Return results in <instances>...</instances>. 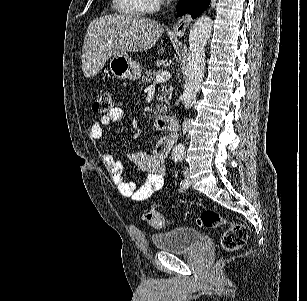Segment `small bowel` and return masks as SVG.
Listing matches in <instances>:
<instances>
[{
	"label": "small bowel",
	"mask_w": 307,
	"mask_h": 301,
	"mask_svg": "<svg viewBox=\"0 0 307 301\" xmlns=\"http://www.w3.org/2000/svg\"><path fill=\"white\" fill-rule=\"evenodd\" d=\"M124 119V110L112 107L101 119L95 121L90 128L91 139L98 140L103 135L104 126L119 123ZM170 141L162 139L150 152H133L129 154L130 161L139 169L147 172L145 182L137 186L125 178L121 163L114 160L108 153H101V160L112 177L120 194L134 201H144L159 191L165 181L164 160L168 153Z\"/></svg>",
	"instance_id": "small-bowel-1"
}]
</instances>
